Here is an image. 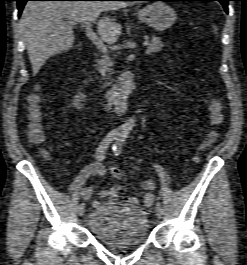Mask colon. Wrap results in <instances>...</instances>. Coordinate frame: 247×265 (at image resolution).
I'll use <instances>...</instances> for the list:
<instances>
[{
    "mask_svg": "<svg viewBox=\"0 0 247 265\" xmlns=\"http://www.w3.org/2000/svg\"><path fill=\"white\" fill-rule=\"evenodd\" d=\"M29 139L34 144H41L44 141L43 131V113L40 106V97L37 93L29 96ZM205 101L210 106L211 123L213 129L207 134L200 145V150H205L212 146L220 138V127L224 119L222 115V108L218 101L211 96L205 97ZM113 177L117 179L122 178V172L118 167H111L110 169Z\"/></svg>",
    "mask_w": 247,
    "mask_h": 265,
    "instance_id": "5ec220e1",
    "label": "colon"
}]
</instances>
